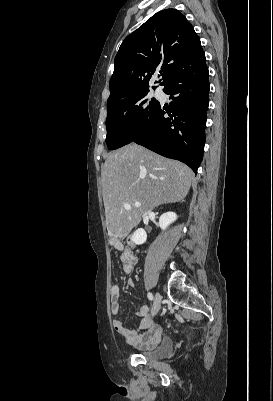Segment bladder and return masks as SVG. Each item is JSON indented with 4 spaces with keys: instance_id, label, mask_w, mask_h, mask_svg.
<instances>
[{
    "instance_id": "1",
    "label": "bladder",
    "mask_w": 273,
    "mask_h": 401,
    "mask_svg": "<svg viewBox=\"0 0 273 401\" xmlns=\"http://www.w3.org/2000/svg\"><path fill=\"white\" fill-rule=\"evenodd\" d=\"M174 341L169 336L161 338L158 347L154 351H144L142 355L151 360L163 359L170 356L174 351Z\"/></svg>"
}]
</instances>
